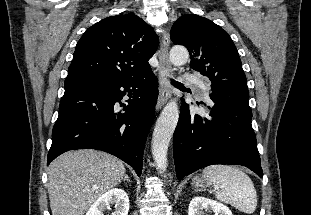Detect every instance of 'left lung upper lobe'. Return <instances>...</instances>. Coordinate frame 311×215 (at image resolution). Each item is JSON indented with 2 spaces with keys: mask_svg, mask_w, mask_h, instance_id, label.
Returning <instances> with one entry per match:
<instances>
[{
  "mask_svg": "<svg viewBox=\"0 0 311 215\" xmlns=\"http://www.w3.org/2000/svg\"><path fill=\"white\" fill-rule=\"evenodd\" d=\"M171 40L188 49L190 67L210 79V92L249 100L238 51L220 26L195 14L182 15L171 28Z\"/></svg>",
  "mask_w": 311,
  "mask_h": 215,
  "instance_id": "5c2ea615",
  "label": "left lung upper lobe"
}]
</instances>
